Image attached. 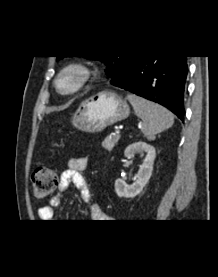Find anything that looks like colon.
Returning <instances> with one entry per match:
<instances>
[{
	"label": "colon",
	"mask_w": 218,
	"mask_h": 277,
	"mask_svg": "<svg viewBox=\"0 0 218 277\" xmlns=\"http://www.w3.org/2000/svg\"><path fill=\"white\" fill-rule=\"evenodd\" d=\"M58 176L54 169L43 166L37 168L32 174L33 194L37 199L47 198L55 189Z\"/></svg>",
	"instance_id": "obj_1"
}]
</instances>
